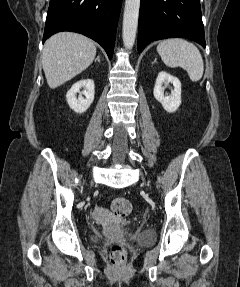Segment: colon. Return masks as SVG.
<instances>
[{
	"mask_svg": "<svg viewBox=\"0 0 240 287\" xmlns=\"http://www.w3.org/2000/svg\"><path fill=\"white\" fill-rule=\"evenodd\" d=\"M111 210L117 217H126L132 211L131 202L124 197H117L111 203ZM110 260L114 266H121L126 260V251L120 244H113L110 249Z\"/></svg>",
	"mask_w": 240,
	"mask_h": 287,
	"instance_id": "5ec220e1",
	"label": "colon"
}]
</instances>
